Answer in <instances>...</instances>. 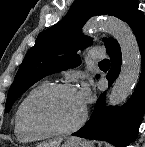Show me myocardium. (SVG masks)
<instances>
[{"label": "myocardium", "mask_w": 145, "mask_h": 147, "mask_svg": "<svg viewBox=\"0 0 145 147\" xmlns=\"http://www.w3.org/2000/svg\"><path fill=\"white\" fill-rule=\"evenodd\" d=\"M66 90H75V88L69 83H57L49 84L33 93L28 98L24 107V120L26 124L32 129L40 130L48 135L53 136L68 135L82 127L87 119L88 112L86 107H84L80 119L75 124L65 128L54 125L45 117V115L37 111V106L42 100Z\"/></svg>", "instance_id": "obj_1"}]
</instances>
